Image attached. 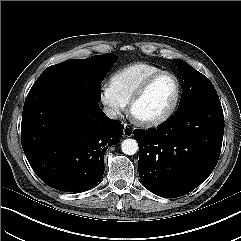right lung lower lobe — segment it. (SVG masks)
Masks as SVG:
<instances>
[{
	"label": "right lung lower lobe",
	"mask_w": 241,
	"mask_h": 241,
	"mask_svg": "<svg viewBox=\"0 0 241 241\" xmlns=\"http://www.w3.org/2000/svg\"><path fill=\"white\" fill-rule=\"evenodd\" d=\"M123 125L108 118L98 101L68 84L28 93L21 143L37 176L65 192H84L104 174V154L121 140Z\"/></svg>",
	"instance_id": "98d812e1"
}]
</instances>
